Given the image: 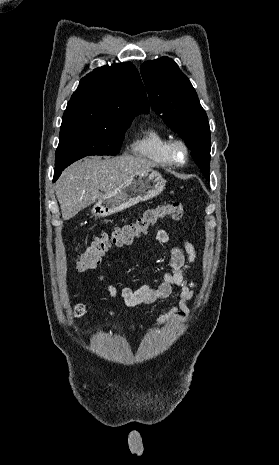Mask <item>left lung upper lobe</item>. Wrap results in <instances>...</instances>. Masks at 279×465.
<instances>
[{
    "instance_id": "obj_1",
    "label": "left lung upper lobe",
    "mask_w": 279,
    "mask_h": 465,
    "mask_svg": "<svg viewBox=\"0 0 279 465\" xmlns=\"http://www.w3.org/2000/svg\"><path fill=\"white\" fill-rule=\"evenodd\" d=\"M152 109L185 141L201 172L210 179V127L189 79L168 57L141 65Z\"/></svg>"
}]
</instances>
